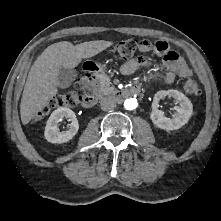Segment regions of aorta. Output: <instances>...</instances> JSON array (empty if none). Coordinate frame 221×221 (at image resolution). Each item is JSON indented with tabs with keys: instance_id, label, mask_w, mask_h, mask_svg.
<instances>
[{
	"instance_id": "762f6f07",
	"label": "aorta",
	"mask_w": 221,
	"mask_h": 221,
	"mask_svg": "<svg viewBox=\"0 0 221 221\" xmlns=\"http://www.w3.org/2000/svg\"><path fill=\"white\" fill-rule=\"evenodd\" d=\"M137 105V99L135 98L126 99L124 102V107L127 110H134L137 107Z\"/></svg>"
}]
</instances>
